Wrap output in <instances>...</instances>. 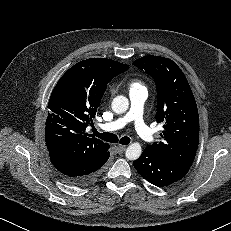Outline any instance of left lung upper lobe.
I'll return each instance as SVG.
<instances>
[{"label":"left lung upper lobe","mask_w":231,"mask_h":231,"mask_svg":"<svg viewBox=\"0 0 231 231\" xmlns=\"http://www.w3.org/2000/svg\"><path fill=\"white\" fill-rule=\"evenodd\" d=\"M133 64L155 79V118L164 123L163 140L146 148L162 159L191 166L199 142V115L184 73L171 59L160 56H145Z\"/></svg>","instance_id":"obj_1"}]
</instances>
